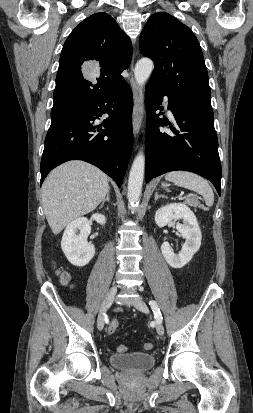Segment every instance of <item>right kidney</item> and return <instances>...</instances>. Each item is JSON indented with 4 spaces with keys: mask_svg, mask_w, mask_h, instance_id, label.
Wrapping results in <instances>:
<instances>
[{
    "mask_svg": "<svg viewBox=\"0 0 253 413\" xmlns=\"http://www.w3.org/2000/svg\"><path fill=\"white\" fill-rule=\"evenodd\" d=\"M91 219L101 225L106 223V218L103 214H93ZM78 230L80 234L77 235L76 232ZM90 232V222L85 217L77 218L67 225L62 237L61 248L71 264L83 267L94 257L95 247L87 242Z\"/></svg>",
    "mask_w": 253,
    "mask_h": 413,
    "instance_id": "ca27d5eb",
    "label": "right kidney"
}]
</instances>
